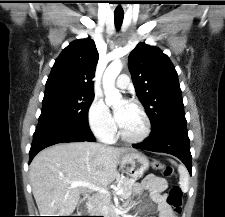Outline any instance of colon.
<instances>
[{"instance_id": "5ec220e1", "label": "colon", "mask_w": 225, "mask_h": 217, "mask_svg": "<svg viewBox=\"0 0 225 217\" xmlns=\"http://www.w3.org/2000/svg\"><path fill=\"white\" fill-rule=\"evenodd\" d=\"M153 167L160 171L165 177H172L173 170L170 166H167L161 162H154ZM166 202L177 213L182 209V191L178 186H172L169 193L166 196Z\"/></svg>"}]
</instances>
